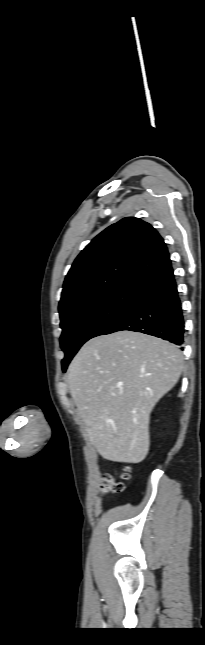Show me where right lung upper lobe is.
Here are the masks:
<instances>
[{"label": "right lung upper lobe", "mask_w": 205, "mask_h": 645, "mask_svg": "<svg viewBox=\"0 0 205 645\" xmlns=\"http://www.w3.org/2000/svg\"><path fill=\"white\" fill-rule=\"evenodd\" d=\"M171 268L159 233L141 219L124 218L96 236L75 259L64 281L59 311L123 284L144 286Z\"/></svg>", "instance_id": "right-lung-upper-lobe-1"}]
</instances>
